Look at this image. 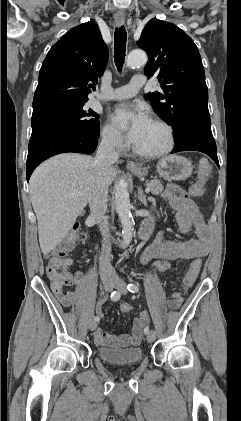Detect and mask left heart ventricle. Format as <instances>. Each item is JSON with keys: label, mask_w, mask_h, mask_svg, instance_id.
Here are the masks:
<instances>
[{"label": "left heart ventricle", "mask_w": 241, "mask_h": 421, "mask_svg": "<svg viewBox=\"0 0 241 421\" xmlns=\"http://www.w3.org/2000/svg\"><path fill=\"white\" fill-rule=\"evenodd\" d=\"M165 143L164 129L150 121L134 145L143 151H156L163 148Z\"/></svg>", "instance_id": "1"}]
</instances>
